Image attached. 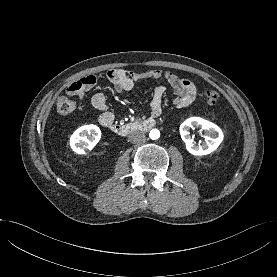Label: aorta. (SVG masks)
I'll return each mask as SVG.
<instances>
[{
	"label": "aorta",
	"instance_id": "762f6f07",
	"mask_svg": "<svg viewBox=\"0 0 277 277\" xmlns=\"http://www.w3.org/2000/svg\"><path fill=\"white\" fill-rule=\"evenodd\" d=\"M149 137L152 139V140H156L160 137V132L158 129H152L149 133Z\"/></svg>",
	"mask_w": 277,
	"mask_h": 277
}]
</instances>
